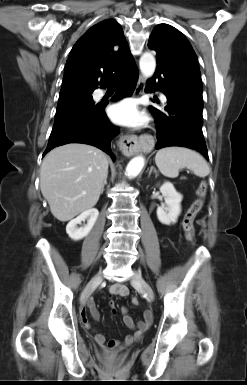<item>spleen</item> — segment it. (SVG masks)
<instances>
[{"label":"spleen","instance_id":"3e777b00","mask_svg":"<svg viewBox=\"0 0 247 385\" xmlns=\"http://www.w3.org/2000/svg\"><path fill=\"white\" fill-rule=\"evenodd\" d=\"M155 163L159 171L169 178L177 177L179 170L185 167L202 178L210 173L205 159L198 152L185 147H166L159 150Z\"/></svg>","mask_w":247,"mask_h":385}]
</instances>
